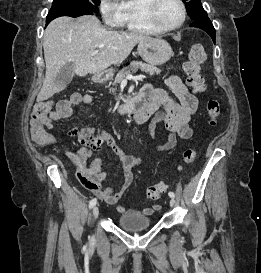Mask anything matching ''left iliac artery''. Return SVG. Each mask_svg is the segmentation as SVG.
Wrapping results in <instances>:
<instances>
[{
    "mask_svg": "<svg viewBox=\"0 0 261 273\" xmlns=\"http://www.w3.org/2000/svg\"><path fill=\"white\" fill-rule=\"evenodd\" d=\"M168 195L170 196V197H175V194H174V192H172V191H170L169 193H168Z\"/></svg>",
    "mask_w": 261,
    "mask_h": 273,
    "instance_id": "1",
    "label": "left iliac artery"
}]
</instances>
